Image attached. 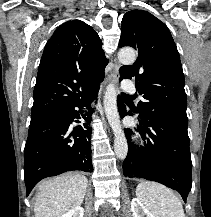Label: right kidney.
<instances>
[{
    "label": "right kidney",
    "instance_id": "ca27d5eb",
    "mask_svg": "<svg viewBox=\"0 0 211 217\" xmlns=\"http://www.w3.org/2000/svg\"><path fill=\"white\" fill-rule=\"evenodd\" d=\"M84 210L82 207L78 206L68 211L62 217H83Z\"/></svg>",
    "mask_w": 211,
    "mask_h": 217
}]
</instances>
